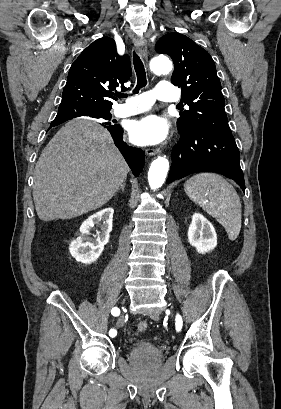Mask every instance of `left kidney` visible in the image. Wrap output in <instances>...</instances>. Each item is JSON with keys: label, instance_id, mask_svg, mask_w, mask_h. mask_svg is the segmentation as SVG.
Here are the masks:
<instances>
[{"label": "left kidney", "instance_id": "left-kidney-1", "mask_svg": "<svg viewBox=\"0 0 281 409\" xmlns=\"http://www.w3.org/2000/svg\"><path fill=\"white\" fill-rule=\"evenodd\" d=\"M188 241L192 247H195L197 253H208L215 249L217 237L215 229L203 215L194 213L191 225L188 229Z\"/></svg>", "mask_w": 281, "mask_h": 409}]
</instances>
